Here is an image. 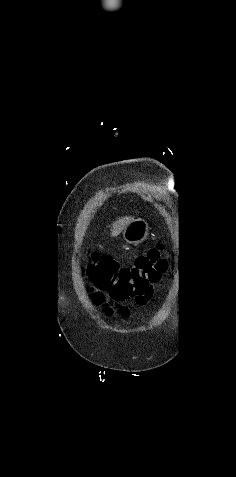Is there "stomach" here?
Returning a JSON list of instances; mask_svg holds the SVG:
<instances>
[{
  "label": "stomach",
  "mask_w": 236,
  "mask_h": 477,
  "mask_svg": "<svg viewBox=\"0 0 236 477\" xmlns=\"http://www.w3.org/2000/svg\"><path fill=\"white\" fill-rule=\"evenodd\" d=\"M148 232V223L143 219H136L125 228L123 239L129 244H139L147 238Z\"/></svg>",
  "instance_id": "1"
}]
</instances>
